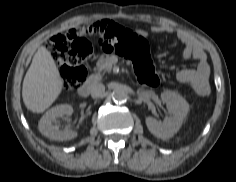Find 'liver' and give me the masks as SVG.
<instances>
[{"label": "liver", "mask_w": 236, "mask_h": 182, "mask_svg": "<svg viewBox=\"0 0 236 182\" xmlns=\"http://www.w3.org/2000/svg\"><path fill=\"white\" fill-rule=\"evenodd\" d=\"M63 80L56 63L45 46H40L24 77L23 102L33 113H42L58 98Z\"/></svg>", "instance_id": "6515ba94"}]
</instances>
